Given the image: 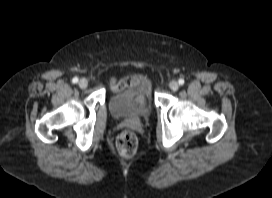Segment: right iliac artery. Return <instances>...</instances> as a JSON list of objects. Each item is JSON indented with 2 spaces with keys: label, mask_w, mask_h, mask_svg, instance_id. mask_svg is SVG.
I'll use <instances>...</instances> for the list:
<instances>
[{
  "label": "right iliac artery",
  "mask_w": 272,
  "mask_h": 198,
  "mask_svg": "<svg viewBox=\"0 0 272 198\" xmlns=\"http://www.w3.org/2000/svg\"><path fill=\"white\" fill-rule=\"evenodd\" d=\"M72 82H73V83H77V82H78V78H77V77H74V78L72 79Z\"/></svg>",
  "instance_id": "obj_1"
}]
</instances>
